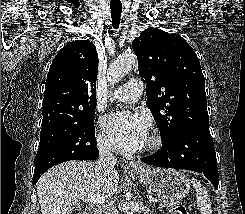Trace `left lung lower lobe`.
Returning a JSON list of instances; mask_svg holds the SVG:
<instances>
[{"label":"left lung lower lobe","mask_w":245,"mask_h":214,"mask_svg":"<svg viewBox=\"0 0 245 214\" xmlns=\"http://www.w3.org/2000/svg\"><path fill=\"white\" fill-rule=\"evenodd\" d=\"M149 165L203 173L218 188V168L208 125H193L158 152L141 158Z\"/></svg>","instance_id":"0a47b994"}]
</instances>
